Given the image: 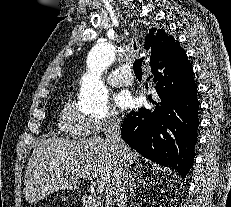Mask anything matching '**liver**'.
Masks as SVG:
<instances>
[{
  "label": "liver",
  "mask_w": 231,
  "mask_h": 207,
  "mask_svg": "<svg viewBox=\"0 0 231 207\" xmlns=\"http://www.w3.org/2000/svg\"><path fill=\"white\" fill-rule=\"evenodd\" d=\"M139 154L124 143L121 154L101 137L75 140L51 137L42 139L29 159L24 195L37 202L59 190H75L83 175H89L103 188L106 201L115 202L114 186L120 168L128 169Z\"/></svg>",
  "instance_id": "liver-1"
}]
</instances>
